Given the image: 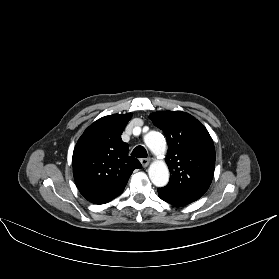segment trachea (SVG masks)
Segmentation results:
<instances>
[{"label": "trachea", "instance_id": "1", "mask_svg": "<svg viewBox=\"0 0 279 279\" xmlns=\"http://www.w3.org/2000/svg\"><path fill=\"white\" fill-rule=\"evenodd\" d=\"M131 155L137 158H146L147 151L143 146H137L133 149Z\"/></svg>", "mask_w": 279, "mask_h": 279}]
</instances>
